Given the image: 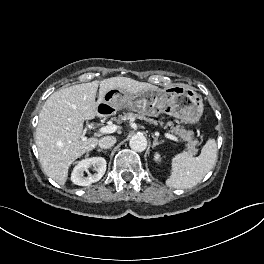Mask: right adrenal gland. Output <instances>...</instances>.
I'll return each mask as SVG.
<instances>
[{
  "mask_svg": "<svg viewBox=\"0 0 264 264\" xmlns=\"http://www.w3.org/2000/svg\"><path fill=\"white\" fill-rule=\"evenodd\" d=\"M97 152H103V153H105L106 150H103V149H97Z\"/></svg>",
  "mask_w": 264,
  "mask_h": 264,
  "instance_id": "right-adrenal-gland-1",
  "label": "right adrenal gland"
}]
</instances>
